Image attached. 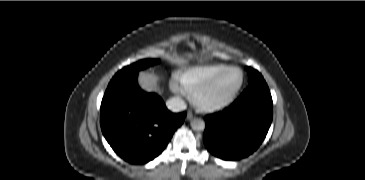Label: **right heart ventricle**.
I'll list each match as a JSON object with an SVG mask.
<instances>
[{"mask_svg": "<svg viewBox=\"0 0 365 180\" xmlns=\"http://www.w3.org/2000/svg\"><path fill=\"white\" fill-rule=\"evenodd\" d=\"M227 66L226 64H205L190 67L180 71L177 74V80L182 90L191 95L196 88Z\"/></svg>", "mask_w": 365, "mask_h": 180, "instance_id": "obj_1", "label": "right heart ventricle"}]
</instances>
